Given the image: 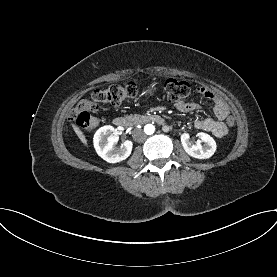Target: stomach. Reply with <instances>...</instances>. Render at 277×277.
Wrapping results in <instances>:
<instances>
[{
    "label": "stomach",
    "mask_w": 277,
    "mask_h": 277,
    "mask_svg": "<svg viewBox=\"0 0 277 277\" xmlns=\"http://www.w3.org/2000/svg\"><path fill=\"white\" fill-rule=\"evenodd\" d=\"M156 91L155 84H152L148 86L144 91L143 95L148 96V95H153V93Z\"/></svg>",
    "instance_id": "obj_1"
}]
</instances>
